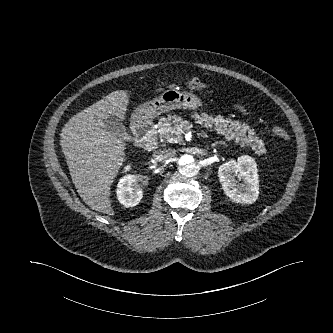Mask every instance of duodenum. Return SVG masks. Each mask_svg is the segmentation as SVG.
Listing matches in <instances>:
<instances>
[{
  "instance_id": "duodenum-1",
  "label": "duodenum",
  "mask_w": 333,
  "mask_h": 333,
  "mask_svg": "<svg viewBox=\"0 0 333 333\" xmlns=\"http://www.w3.org/2000/svg\"><path fill=\"white\" fill-rule=\"evenodd\" d=\"M133 131L139 146L146 150H153L157 147L158 142L154 125L147 114H143L135 120Z\"/></svg>"
}]
</instances>
